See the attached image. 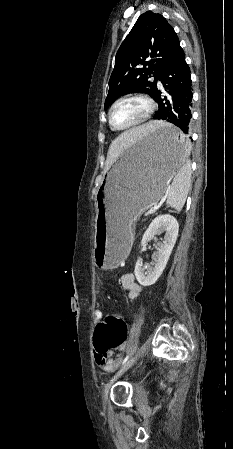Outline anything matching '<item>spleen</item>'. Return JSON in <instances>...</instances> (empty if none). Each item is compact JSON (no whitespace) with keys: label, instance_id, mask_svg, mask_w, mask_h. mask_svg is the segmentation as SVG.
Wrapping results in <instances>:
<instances>
[{"label":"spleen","instance_id":"3e777b00","mask_svg":"<svg viewBox=\"0 0 233 449\" xmlns=\"http://www.w3.org/2000/svg\"><path fill=\"white\" fill-rule=\"evenodd\" d=\"M190 148V143H188L186 146L187 156L190 153ZM191 173L190 163L186 159L169 187L166 204L174 208L177 212L182 210L186 202L188 192L191 188Z\"/></svg>","mask_w":233,"mask_h":449}]
</instances>
